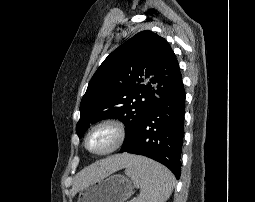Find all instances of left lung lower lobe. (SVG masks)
Wrapping results in <instances>:
<instances>
[{"label": "left lung lower lobe", "mask_w": 255, "mask_h": 202, "mask_svg": "<svg viewBox=\"0 0 255 202\" xmlns=\"http://www.w3.org/2000/svg\"><path fill=\"white\" fill-rule=\"evenodd\" d=\"M184 114L185 90L181 84L156 103L135 136L120 153L143 155L156 160L168 167L179 179Z\"/></svg>", "instance_id": "1"}]
</instances>
